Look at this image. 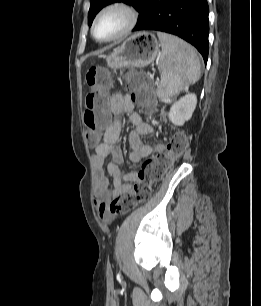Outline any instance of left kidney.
Instances as JSON below:
<instances>
[{"label": "left kidney", "instance_id": "1", "mask_svg": "<svg viewBox=\"0 0 261 306\" xmlns=\"http://www.w3.org/2000/svg\"><path fill=\"white\" fill-rule=\"evenodd\" d=\"M197 104V97L188 93L174 102L169 111V120L176 126H182L192 117Z\"/></svg>", "mask_w": 261, "mask_h": 306}]
</instances>
